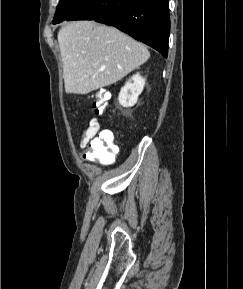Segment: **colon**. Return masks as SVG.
<instances>
[{"label": "colon", "instance_id": "5ec220e1", "mask_svg": "<svg viewBox=\"0 0 243 289\" xmlns=\"http://www.w3.org/2000/svg\"><path fill=\"white\" fill-rule=\"evenodd\" d=\"M93 110L101 115L107 108L109 94L104 90H97L92 94ZM117 146L113 141V134L110 130L101 131L86 147L84 159L89 161L98 160L105 164L113 162Z\"/></svg>", "mask_w": 243, "mask_h": 289}]
</instances>
